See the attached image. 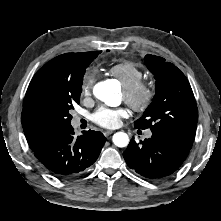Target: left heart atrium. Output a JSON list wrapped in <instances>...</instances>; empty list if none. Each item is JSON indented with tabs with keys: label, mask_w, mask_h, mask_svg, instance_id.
<instances>
[{
	"label": "left heart atrium",
	"mask_w": 221,
	"mask_h": 221,
	"mask_svg": "<svg viewBox=\"0 0 221 221\" xmlns=\"http://www.w3.org/2000/svg\"><path fill=\"white\" fill-rule=\"evenodd\" d=\"M128 116V111L125 107H106L102 106L93 114V120L98 125L105 128H115L120 125L121 118Z\"/></svg>",
	"instance_id": "39dd6f15"
}]
</instances>
